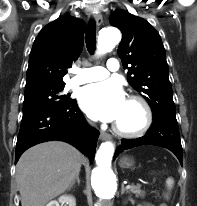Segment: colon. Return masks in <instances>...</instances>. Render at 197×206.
Wrapping results in <instances>:
<instances>
[{
  "instance_id": "1",
  "label": "colon",
  "mask_w": 197,
  "mask_h": 206,
  "mask_svg": "<svg viewBox=\"0 0 197 206\" xmlns=\"http://www.w3.org/2000/svg\"><path fill=\"white\" fill-rule=\"evenodd\" d=\"M161 206H166L165 204H162Z\"/></svg>"
}]
</instances>
